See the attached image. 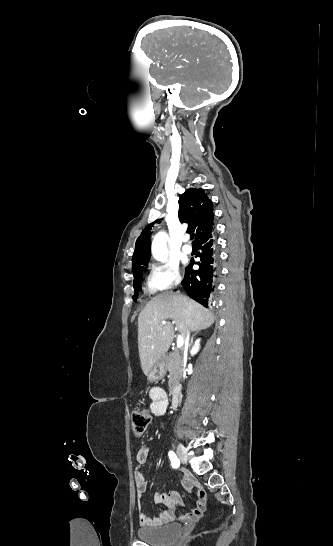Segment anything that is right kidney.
Here are the masks:
<instances>
[{
	"instance_id": "obj_1",
	"label": "right kidney",
	"mask_w": 333,
	"mask_h": 546,
	"mask_svg": "<svg viewBox=\"0 0 333 546\" xmlns=\"http://www.w3.org/2000/svg\"><path fill=\"white\" fill-rule=\"evenodd\" d=\"M199 347H200V339H198V340L195 342L194 346L192 347V349H191V351H190L191 355H195V354L198 352Z\"/></svg>"
}]
</instances>
